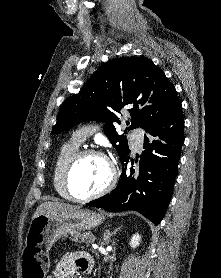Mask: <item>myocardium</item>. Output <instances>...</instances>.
I'll return each instance as SVG.
<instances>
[{
    "mask_svg": "<svg viewBox=\"0 0 221 278\" xmlns=\"http://www.w3.org/2000/svg\"><path fill=\"white\" fill-rule=\"evenodd\" d=\"M87 156H97L102 158L108 165L109 168V179L105 186L101 188L99 191L94 192L92 194L79 197L75 195L72 192L71 186H70V175L74 168V166L84 157ZM118 179V172L115 163L102 151L94 149V148H85L78 150L67 162L64 171H63V177H62V183L63 188L70 200L76 201V202H87L93 199H96L107 192H109L116 184Z\"/></svg>",
    "mask_w": 221,
    "mask_h": 278,
    "instance_id": "1",
    "label": "myocardium"
}]
</instances>
